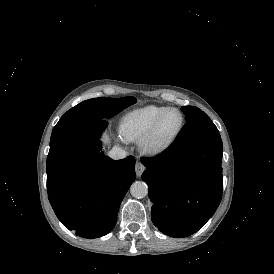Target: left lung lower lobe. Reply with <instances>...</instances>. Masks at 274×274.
Listing matches in <instances>:
<instances>
[{
	"label": "left lung lower lobe",
	"instance_id": "obj_1",
	"mask_svg": "<svg viewBox=\"0 0 274 274\" xmlns=\"http://www.w3.org/2000/svg\"><path fill=\"white\" fill-rule=\"evenodd\" d=\"M222 152L221 137H214L173 143L160 156L141 158L152 222L161 232L186 237L212 217L222 198Z\"/></svg>",
	"mask_w": 274,
	"mask_h": 274
}]
</instances>
